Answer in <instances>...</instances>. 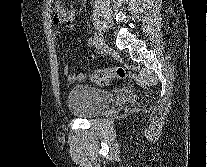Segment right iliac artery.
Instances as JSON below:
<instances>
[{
	"label": "right iliac artery",
	"instance_id": "obj_1",
	"mask_svg": "<svg viewBox=\"0 0 207 167\" xmlns=\"http://www.w3.org/2000/svg\"><path fill=\"white\" fill-rule=\"evenodd\" d=\"M88 43H89L90 47H93L95 45V39L90 37L89 40H88Z\"/></svg>",
	"mask_w": 207,
	"mask_h": 167
}]
</instances>
